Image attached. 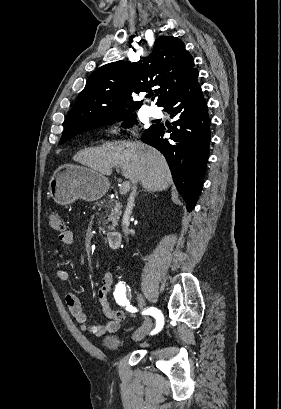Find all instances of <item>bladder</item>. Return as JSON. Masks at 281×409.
Instances as JSON below:
<instances>
[{
  "label": "bladder",
  "mask_w": 281,
  "mask_h": 409,
  "mask_svg": "<svg viewBox=\"0 0 281 409\" xmlns=\"http://www.w3.org/2000/svg\"><path fill=\"white\" fill-rule=\"evenodd\" d=\"M130 346V341L120 333L102 337L100 347L107 353H122Z\"/></svg>",
  "instance_id": "1"
}]
</instances>
